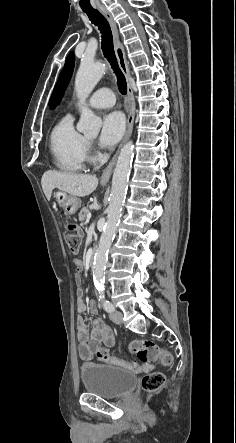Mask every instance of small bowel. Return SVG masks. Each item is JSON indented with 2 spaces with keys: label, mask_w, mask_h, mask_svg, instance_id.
Returning a JSON list of instances; mask_svg holds the SVG:
<instances>
[{
  "label": "small bowel",
  "mask_w": 236,
  "mask_h": 443,
  "mask_svg": "<svg viewBox=\"0 0 236 443\" xmlns=\"http://www.w3.org/2000/svg\"><path fill=\"white\" fill-rule=\"evenodd\" d=\"M76 269L83 270V265L80 261L75 262ZM76 289V308L79 313H85L89 311L92 314L97 313V306L94 302L86 304L83 300V290L81 288V275L75 278ZM77 340L80 344L79 355L83 359H89L92 356L93 351L100 344L106 347H112L115 343L114 337L111 331L99 320H95L92 323V328L89 331L87 324L82 316H79L76 320ZM87 353V354H85ZM151 368V367H150Z\"/></svg>",
  "instance_id": "obj_1"
}]
</instances>
